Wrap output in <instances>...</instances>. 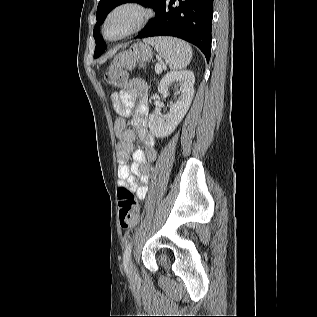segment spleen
Instances as JSON below:
<instances>
[{
	"label": "spleen",
	"mask_w": 317,
	"mask_h": 317,
	"mask_svg": "<svg viewBox=\"0 0 317 317\" xmlns=\"http://www.w3.org/2000/svg\"><path fill=\"white\" fill-rule=\"evenodd\" d=\"M164 58L170 69L177 70L187 67L192 58V49L188 43L173 37H155L146 39Z\"/></svg>",
	"instance_id": "obj_1"
}]
</instances>
